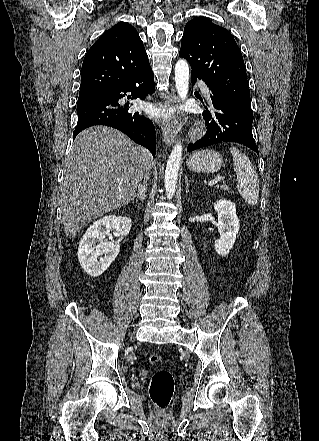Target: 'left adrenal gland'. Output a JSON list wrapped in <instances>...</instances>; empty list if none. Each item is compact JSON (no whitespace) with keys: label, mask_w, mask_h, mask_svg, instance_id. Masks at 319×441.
Returning a JSON list of instances; mask_svg holds the SVG:
<instances>
[{"label":"left adrenal gland","mask_w":319,"mask_h":441,"mask_svg":"<svg viewBox=\"0 0 319 441\" xmlns=\"http://www.w3.org/2000/svg\"><path fill=\"white\" fill-rule=\"evenodd\" d=\"M185 180H186V193L188 194V192H189V182H194V181L193 180L190 181L187 176H185Z\"/></svg>","instance_id":"1"}]
</instances>
